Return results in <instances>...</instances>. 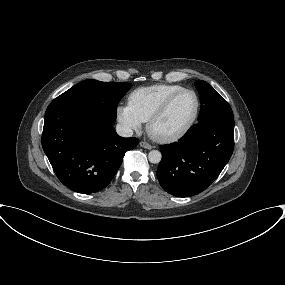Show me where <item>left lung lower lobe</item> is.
<instances>
[{"label": "left lung lower lobe", "mask_w": 285, "mask_h": 285, "mask_svg": "<svg viewBox=\"0 0 285 285\" xmlns=\"http://www.w3.org/2000/svg\"><path fill=\"white\" fill-rule=\"evenodd\" d=\"M160 148L157 178L162 188L178 197L196 195L214 182L233 153V116L200 120L178 142Z\"/></svg>", "instance_id": "left-lung-lower-lobe-1"}]
</instances>
